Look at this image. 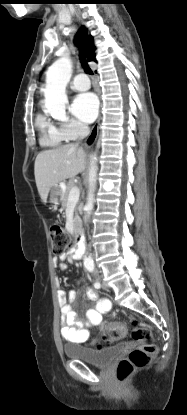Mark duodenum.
Instances as JSON below:
<instances>
[{
  "instance_id": "obj_1",
  "label": "duodenum",
  "mask_w": 187,
  "mask_h": 415,
  "mask_svg": "<svg viewBox=\"0 0 187 415\" xmlns=\"http://www.w3.org/2000/svg\"><path fill=\"white\" fill-rule=\"evenodd\" d=\"M73 232H74V238H75V247L73 256L78 257L82 251L83 248V237L80 230V226L77 221L73 223Z\"/></svg>"
}]
</instances>
